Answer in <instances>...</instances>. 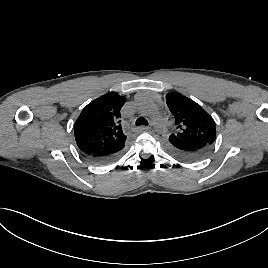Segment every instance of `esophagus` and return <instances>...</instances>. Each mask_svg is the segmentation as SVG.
<instances>
[{"label": "esophagus", "mask_w": 268, "mask_h": 268, "mask_svg": "<svg viewBox=\"0 0 268 268\" xmlns=\"http://www.w3.org/2000/svg\"><path fill=\"white\" fill-rule=\"evenodd\" d=\"M142 129H143V130H146V129H149V128H148V127L143 126V127H142Z\"/></svg>", "instance_id": "esophagus-1"}]
</instances>
